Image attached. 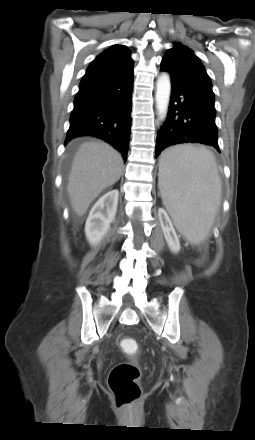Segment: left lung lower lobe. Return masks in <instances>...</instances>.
<instances>
[{
	"instance_id": "left-lung-lower-lobe-1",
	"label": "left lung lower lobe",
	"mask_w": 255,
	"mask_h": 440,
	"mask_svg": "<svg viewBox=\"0 0 255 440\" xmlns=\"http://www.w3.org/2000/svg\"><path fill=\"white\" fill-rule=\"evenodd\" d=\"M171 85L168 116L157 135L155 157L165 148L182 143L206 144L220 152L214 104L172 81Z\"/></svg>"
}]
</instances>
